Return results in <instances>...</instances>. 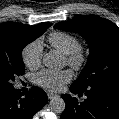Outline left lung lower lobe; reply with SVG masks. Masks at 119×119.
Wrapping results in <instances>:
<instances>
[{
    "mask_svg": "<svg viewBox=\"0 0 119 119\" xmlns=\"http://www.w3.org/2000/svg\"><path fill=\"white\" fill-rule=\"evenodd\" d=\"M70 90L87 97L78 102L77 98L63 94L66 108L60 119H119V88L97 86L81 90L72 84Z\"/></svg>",
    "mask_w": 119,
    "mask_h": 119,
    "instance_id": "obj_1",
    "label": "left lung lower lobe"
}]
</instances>
